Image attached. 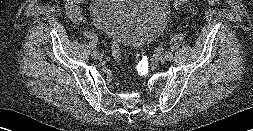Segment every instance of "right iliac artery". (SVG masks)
I'll use <instances>...</instances> for the list:
<instances>
[{
    "label": "right iliac artery",
    "mask_w": 253,
    "mask_h": 131,
    "mask_svg": "<svg viewBox=\"0 0 253 131\" xmlns=\"http://www.w3.org/2000/svg\"><path fill=\"white\" fill-rule=\"evenodd\" d=\"M91 52H92L93 54H96V53L98 52V49H97L96 47H93V48L91 49Z\"/></svg>",
    "instance_id": "1"
}]
</instances>
